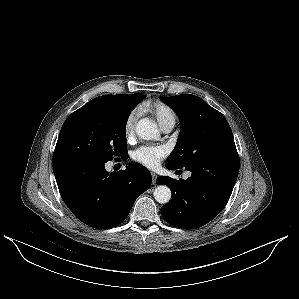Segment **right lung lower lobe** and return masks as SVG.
Returning <instances> with one entry per match:
<instances>
[{
  "mask_svg": "<svg viewBox=\"0 0 299 299\" xmlns=\"http://www.w3.org/2000/svg\"><path fill=\"white\" fill-rule=\"evenodd\" d=\"M105 163L69 151L53 155L63 201L80 221L97 229L122 223L137 197L151 185V174L141 164L130 162L124 171L109 173Z\"/></svg>",
  "mask_w": 299,
  "mask_h": 299,
  "instance_id": "98d812e1",
  "label": "right lung lower lobe"
}]
</instances>
